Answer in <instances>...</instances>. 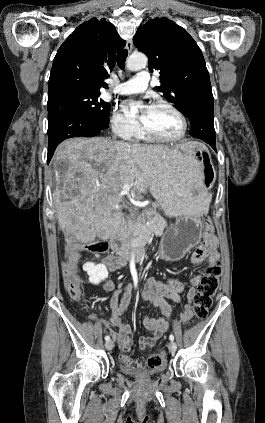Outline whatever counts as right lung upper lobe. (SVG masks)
I'll use <instances>...</instances> for the list:
<instances>
[{
	"label": "right lung upper lobe",
	"instance_id": "cb5924a9",
	"mask_svg": "<svg viewBox=\"0 0 265 423\" xmlns=\"http://www.w3.org/2000/svg\"><path fill=\"white\" fill-rule=\"evenodd\" d=\"M114 25L92 18L79 25L57 51L49 78L48 97L81 90L100 93L125 46Z\"/></svg>",
	"mask_w": 265,
	"mask_h": 423
}]
</instances>
